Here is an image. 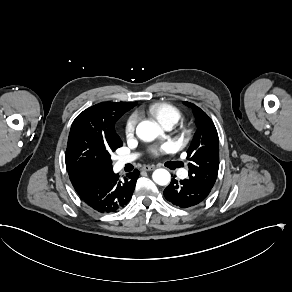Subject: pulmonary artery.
I'll list each match as a JSON object with an SVG mask.
<instances>
[{
    "instance_id": "pulmonary-artery-1",
    "label": "pulmonary artery",
    "mask_w": 292,
    "mask_h": 292,
    "mask_svg": "<svg viewBox=\"0 0 292 292\" xmlns=\"http://www.w3.org/2000/svg\"><path fill=\"white\" fill-rule=\"evenodd\" d=\"M174 126H175V123L173 121H168V122H165V123L162 124L163 129L166 130V131L172 130ZM135 158H136V155H125V156H121L118 159L117 164L119 166H123L124 164L132 161ZM182 176L183 177H186L187 176V171L184 172Z\"/></svg>"
}]
</instances>
